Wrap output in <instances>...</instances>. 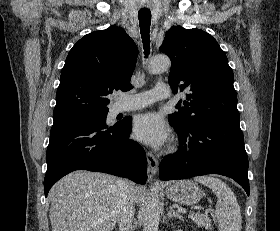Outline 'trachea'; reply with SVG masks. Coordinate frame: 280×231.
<instances>
[{"label":"trachea","instance_id":"1","mask_svg":"<svg viewBox=\"0 0 280 231\" xmlns=\"http://www.w3.org/2000/svg\"><path fill=\"white\" fill-rule=\"evenodd\" d=\"M138 17L145 55H149L151 12L148 9H141L139 10Z\"/></svg>","mask_w":280,"mask_h":231}]
</instances>
